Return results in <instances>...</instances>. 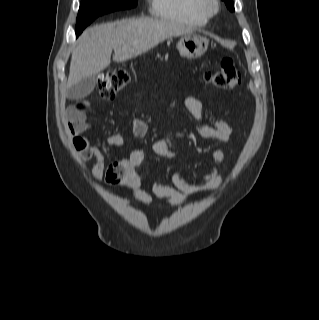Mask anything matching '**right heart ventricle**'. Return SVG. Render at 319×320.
Returning a JSON list of instances; mask_svg holds the SVG:
<instances>
[{"label": "right heart ventricle", "instance_id": "e07e8e85", "mask_svg": "<svg viewBox=\"0 0 319 320\" xmlns=\"http://www.w3.org/2000/svg\"><path fill=\"white\" fill-rule=\"evenodd\" d=\"M153 16L193 27H201L209 18L200 8V0H150Z\"/></svg>", "mask_w": 319, "mask_h": 320}]
</instances>
